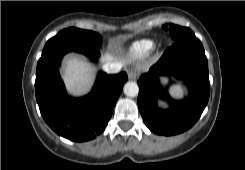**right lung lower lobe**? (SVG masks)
Listing matches in <instances>:
<instances>
[{
  "label": "right lung lower lobe",
  "mask_w": 245,
  "mask_h": 170,
  "mask_svg": "<svg viewBox=\"0 0 245 170\" xmlns=\"http://www.w3.org/2000/svg\"><path fill=\"white\" fill-rule=\"evenodd\" d=\"M70 51L99 57L95 47L64 48L38 62L35 81L36 99L42 117L60 136L83 142L102 133L111 118L122 92L127 74L107 75L100 72L92 91L85 97H69L59 74L62 57Z\"/></svg>",
  "instance_id": "1"
}]
</instances>
